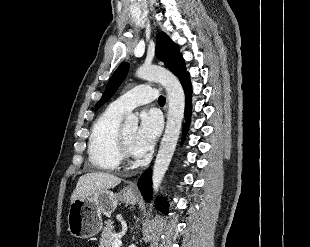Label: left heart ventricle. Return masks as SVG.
<instances>
[{"label": "left heart ventricle", "instance_id": "1", "mask_svg": "<svg viewBox=\"0 0 310 247\" xmlns=\"http://www.w3.org/2000/svg\"><path fill=\"white\" fill-rule=\"evenodd\" d=\"M135 133H136V128L135 127H130V128L123 129L124 138H125L128 146L130 147V149L132 147V143H133V140H134Z\"/></svg>", "mask_w": 310, "mask_h": 247}]
</instances>
